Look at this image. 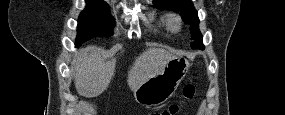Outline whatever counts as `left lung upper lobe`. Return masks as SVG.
Returning a JSON list of instances; mask_svg holds the SVG:
<instances>
[{"mask_svg": "<svg viewBox=\"0 0 285 115\" xmlns=\"http://www.w3.org/2000/svg\"><path fill=\"white\" fill-rule=\"evenodd\" d=\"M153 4L161 10H172L180 12L185 24L190 25V31L194 42L191 47L194 49L203 48L202 35L198 29L199 19L191 0H154Z\"/></svg>", "mask_w": 285, "mask_h": 115, "instance_id": "obj_1", "label": "left lung upper lobe"}]
</instances>
